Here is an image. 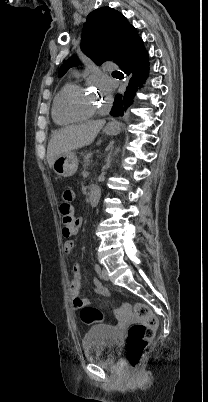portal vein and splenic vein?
Wrapping results in <instances>:
<instances>
[{"mask_svg": "<svg viewBox=\"0 0 208 402\" xmlns=\"http://www.w3.org/2000/svg\"><path fill=\"white\" fill-rule=\"evenodd\" d=\"M93 157H94V154L89 153L88 156H87V159H90V158H93ZM90 164H92V161H90V160L85 161V166H89Z\"/></svg>", "mask_w": 208, "mask_h": 402, "instance_id": "18ae733b", "label": "portal vein and splenic vein"}]
</instances>
